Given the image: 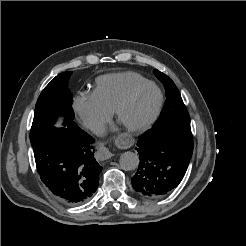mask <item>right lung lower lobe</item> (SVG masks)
<instances>
[{"label":"right lung lower lobe","mask_w":246,"mask_h":246,"mask_svg":"<svg viewBox=\"0 0 246 246\" xmlns=\"http://www.w3.org/2000/svg\"><path fill=\"white\" fill-rule=\"evenodd\" d=\"M31 144L42 182L60 201L77 205L90 199L102 170L90 135L72 121L48 130Z\"/></svg>","instance_id":"right-lung-lower-lobe-1"}]
</instances>
